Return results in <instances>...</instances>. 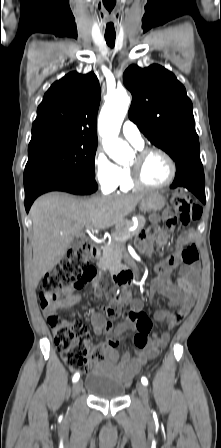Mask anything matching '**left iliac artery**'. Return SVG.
<instances>
[{"instance_id": "left-iliac-artery-1", "label": "left iliac artery", "mask_w": 221, "mask_h": 448, "mask_svg": "<svg viewBox=\"0 0 221 448\" xmlns=\"http://www.w3.org/2000/svg\"><path fill=\"white\" fill-rule=\"evenodd\" d=\"M141 382H142V384H144V385H148V380H147L146 377H142V378H141Z\"/></svg>"}]
</instances>
